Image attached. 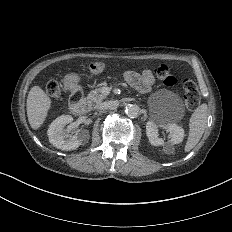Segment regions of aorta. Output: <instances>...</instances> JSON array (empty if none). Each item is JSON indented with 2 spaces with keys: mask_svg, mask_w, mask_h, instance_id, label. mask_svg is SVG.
I'll use <instances>...</instances> for the list:
<instances>
[{
  "mask_svg": "<svg viewBox=\"0 0 232 232\" xmlns=\"http://www.w3.org/2000/svg\"><path fill=\"white\" fill-rule=\"evenodd\" d=\"M125 113L130 118H136L140 115V107L136 104H129L125 107Z\"/></svg>",
  "mask_w": 232,
  "mask_h": 232,
  "instance_id": "1",
  "label": "aorta"
}]
</instances>
